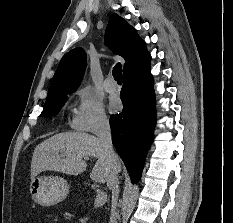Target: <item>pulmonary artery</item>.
Masks as SVG:
<instances>
[{"label": "pulmonary artery", "mask_w": 233, "mask_h": 223, "mask_svg": "<svg viewBox=\"0 0 233 223\" xmlns=\"http://www.w3.org/2000/svg\"><path fill=\"white\" fill-rule=\"evenodd\" d=\"M105 88L110 93H113L117 90V85L114 83L113 78L109 77L106 79Z\"/></svg>", "instance_id": "1"}]
</instances>
